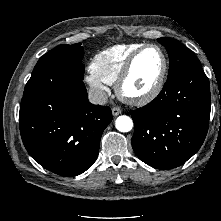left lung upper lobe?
<instances>
[{
  "label": "left lung upper lobe",
  "instance_id": "left-lung-upper-lobe-1",
  "mask_svg": "<svg viewBox=\"0 0 221 221\" xmlns=\"http://www.w3.org/2000/svg\"><path fill=\"white\" fill-rule=\"evenodd\" d=\"M167 50L170 66L167 81H170L186 70L202 68L199 59L183 44L173 38H159Z\"/></svg>",
  "mask_w": 221,
  "mask_h": 221
}]
</instances>
